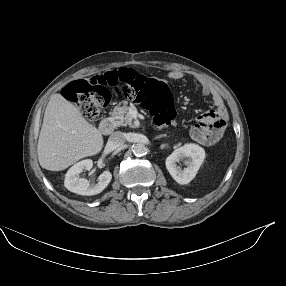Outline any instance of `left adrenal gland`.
<instances>
[{
  "label": "left adrenal gland",
  "mask_w": 286,
  "mask_h": 286,
  "mask_svg": "<svg viewBox=\"0 0 286 286\" xmlns=\"http://www.w3.org/2000/svg\"><path fill=\"white\" fill-rule=\"evenodd\" d=\"M162 136H163V135H162ZM162 136H159V137H157V138H155V139L161 138Z\"/></svg>",
  "instance_id": "obj_1"
}]
</instances>
